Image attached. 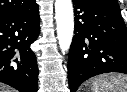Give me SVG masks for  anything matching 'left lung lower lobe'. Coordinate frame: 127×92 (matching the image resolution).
I'll return each mask as SVG.
<instances>
[{
	"label": "left lung lower lobe",
	"mask_w": 127,
	"mask_h": 92,
	"mask_svg": "<svg viewBox=\"0 0 127 92\" xmlns=\"http://www.w3.org/2000/svg\"><path fill=\"white\" fill-rule=\"evenodd\" d=\"M75 30L68 57L71 92L88 78L108 72L127 74V28L120 10L73 0Z\"/></svg>",
	"instance_id": "left-lung-lower-lobe-1"
}]
</instances>
